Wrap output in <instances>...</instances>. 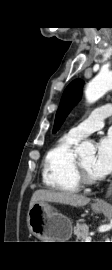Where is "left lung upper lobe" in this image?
<instances>
[{
    "mask_svg": "<svg viewBox=\"0 0 112 270\" xmlns=\"http://www.w3.org/2000/svg\"><path fill=\"white\" fill-rule=\"evenodd\" d=\"M83 83V80L76 79L71 82L65 89L56 113L53 129L54 132H56L60 128L66 116L71 111L72 107L80 100Z\"/></svg>",
    "mask_w": 112,
    "mask_h": 270,
    "instance_id": "5c2ea615",
    "label": "left lung upper lobe"
}]
</instances>
